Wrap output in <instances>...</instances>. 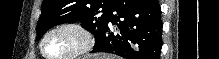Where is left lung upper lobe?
I'll return each mask as SVG.
<instances>
[{
  "mask_svg": "<svg viewBox=\"0 0 219 59\" xmlns=\"http://www.w3.org/2000/svg\"><path fill=\"white\" fill-rule=\"evenodd\" d=\"M114 0H43L42 12L37 26V38L52 26L64 22L81 21L95 41L100 37Z\"/></svg>",
  "mask_w": 219,
  "mask_h": 59,
  "instance_id": "left-lung-upper-lobe-1",
  "label": "left lung upper lobe"
}]
</instances>
